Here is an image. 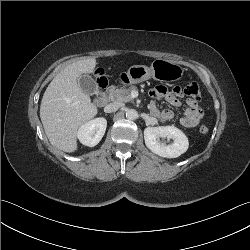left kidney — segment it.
Masks as SVG:
<instances>
[{
	"label": "left kidney",
	"mask_w": 250,
	"mask_h": 250,
	"mask_svg": "<svg viewBox=\"0 0 250 250\" xmlns=\"http://www.w3.org/2000/svg\"><path fill=\"white\" fill-rule=\"evenodd\" d=\"M160 138L172 139L173 142L167 145ZM144 140L148 149L164 158L179 157L189 147L186 135L174 126L147 127L144 130Z\"/></svg>",
	"instance_id": "left-kidney-1"
}]
</instances>
